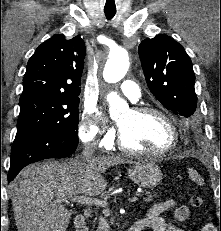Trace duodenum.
I'll list each match as a JSON object with an SVG mask.
<instances>
[{"instance_id":"410a0bca","label":"duodenum","mask_w":221,"mask_h":231,"mask_svg":"<svg viewBox=\"0 0 221 231\" xmlns=\"http://www.w3.org/2000/svg\"><path fill=\"white\" fill-rule=\"evenodd\" d=\"M74 226H75L76 231H87L85 216L82 214L77 215L74 219ZM128 231H141V228L136 223H134L128 229Z\"/></svg>"}]
</instances>
